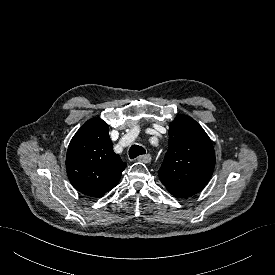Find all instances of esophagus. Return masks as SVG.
I'll return each mask as SVG.
<instances>
[{
  "mask_svg": "<svg viewBox=\"0 0 275 275\" xmlns=\"http://www.w3.org/2000/svg\"><path fill=\"white\" fill-rule=\"evenodd\" d=\"M137 161L142 163H149L151 161V155L150 154L141 155L137 157Z\"/></svg>",
  "mask_w": 275,
  "mask_h": 275,
  "instance_id": "esophagus-1",
  "label": "esophagus"
}]
</instances>
